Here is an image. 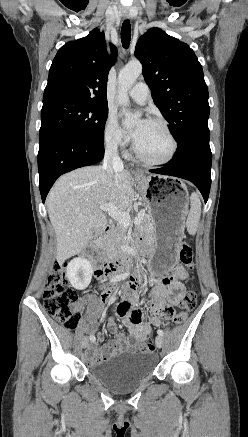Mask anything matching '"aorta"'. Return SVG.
<instances>
[{"label":"aorta","instance_id":"aorta-1","mask_svg":"<svg viewBox=\"0 0 248 437\" xmlns=\"http://www.w3.org/2000/svg\"><path fill=\"white\" fill-rule=\"evenodd\" d=\"M142 73V65L139 62H133L126 65L118 75V96L117 101L119 105L127 107L129 105L128 90L135 83L137 78ZM140 115L126 114L124 124L126 126H133L136 124Z\"/></svg>","mask_w":248,"mask_h":437}]
</instances>
